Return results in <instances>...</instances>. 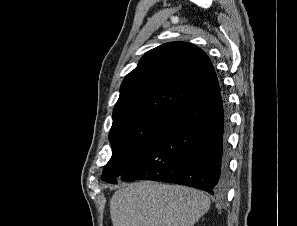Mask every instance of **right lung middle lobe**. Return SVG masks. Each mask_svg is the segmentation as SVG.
I'll return each mask as SVG.
<instances>
[{
  "label": "right lung middle lobe",
  "mask_w": 297,
  "mask_h": 226,
  "mask_svg": "<svg viewBox=\"0 0 297 226\" xmlns=\"http://www.w3.org/2000/svg\"><path fill=\"white\" fill-rule=\"evenodd\" d=\"M171 114H144L112 124L109 140L112 157L107 163L102 180L115 183L145 151Z\"/></svg>",
  "instance_id": "1"
}]
</instances>
